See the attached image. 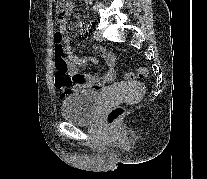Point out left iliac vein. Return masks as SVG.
<instances>
[{
  "label": "left iliac vein",
  "instance_id": "left-iliac-vein-1",
  "mask_svg": "<svg viewBox=\"0 0 207 179\" xmlns=\"http://www.w3.org/2000/svg\"><path fill=\"white\" fill-rule=\"evenodd\" d=\"M91 29L92 30H97V29H100V26H99L98 23H95V24H92ZM93 37L97 41H102V36H101V33L99 31H96L94 33V36Z\"/></svg>",
  "mask_w": 207,
  "mask_h": 179
}]
</instances>
